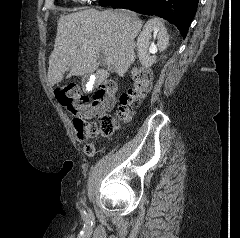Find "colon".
Listing matches in <instances>:
<instances>
[{
	"label": "colon",
	"instance_id": "5ec220e1",
	"mask_svg": "<svg viewBox=\"0 0 240 238\" xmlns=\"http://www.w3.org/2000/svg\"><path fill=\"white\" fill-rule=\"evenodd\" d=\"M131 86L119 98V108L115 116L106 113L115 103V83L102 85L92 101L82 94L76 84L57 87L54 94L58 102L73 116V126L78 138L82 141L93 139L98 135H112L121 121H127L132 109L146 95L151 86V73L146 68L131 70ZM96 118V121H92ZM88 155L94 153L91 144L85 146Z\"/></svg>",
	"mask_w": 240,
	"mask_h": 238
}]
</instances>
